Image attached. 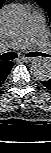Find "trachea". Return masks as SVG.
Here are the masks:
<instances>
[{
  "label": "trachea",
  "instance_id": "trachea-1",
  "mask_svg": "<svg viewBox=\"0 0 51 153\" xmlns=\"http://www.w3.org/2000/svg\"><path fill=\"white\" fill-rule=\"evenodd\" d=\"M36 56H45L46 57V55L41 52H29L26 54V57H36ZM17 57L18 56L16 53L8 52V53L0 55V60L1 61H10V60H14Z\"/></svg>",
  "mask_w": 51,
  "mask_h": 153
}]
</instances>
